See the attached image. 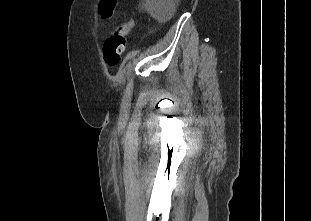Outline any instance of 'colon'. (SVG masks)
<instances>
[{
    "instance_id": "1",
    "label": "colon",
    "mask_w": 311,
    "mask_h": 221,
    "mask_svg": "<svg viewBox=\"0 0 311 221\" xmlns=\"http://www.w3.org/2000/svg\"><path fill=\"white\" fill-rule=\"evenodd\" d=\"M103 3V10L102 8H99V10L97 11V16L101 17V19L103 20H108L112 16L114 9H116L118 0H103ZM133 25V19H128L122 22L120 25H118L115 31V33L117 34L114 33L105 41L103 56L104 60L109 66H115L120 60L126 42V34L124 33L129 30L131 31Z\"/></svg>"
}]
</instances>
